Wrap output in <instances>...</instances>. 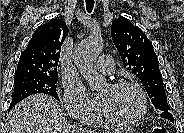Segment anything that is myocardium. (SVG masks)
<instances>
[{
    "label": "myocardium",
    "instance_id": "myocardium-1",
    "mask_svg": "<svg viewBox=\"0 0 184 133\" xmlns=\"http://www.w3.org/2000/svg\"><path fill=\"white\" fill-rule=\"evenodd\" d=\"M110 86L113 88H132L133 90H135L140 99V108L134 116L126 119H115L107 115L101 108V117L109 124L118 127L130 126L138 123L145 116L148 110L147 96L141 85L133 80H119L111 83Z\"/></svg>",
    "mask_w": 184,
    "mask_h": 133
}]
</instances>
